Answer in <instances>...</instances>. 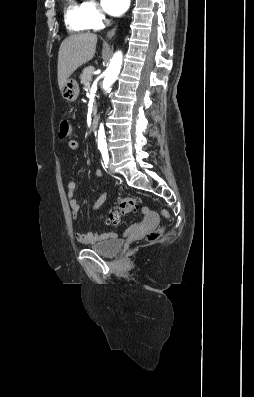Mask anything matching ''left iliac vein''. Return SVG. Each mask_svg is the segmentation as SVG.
<instances>
[{
  "instance_id": "obj_1",
  "label": "left iliac vein",
  "mask_w": 254,
  "mask_h": 397,
  "mask_svg": "<svg viewBox=\"0 0 254 397\" xmlns=\"http://www.w3.org/2000/svg\"><path fill=\"white\" fill-rule=\"evenodd\" d=\"M109 173H111V174L115 173L114 168L111 163L109 164Z\"/></svg>"
}]
</instances>
